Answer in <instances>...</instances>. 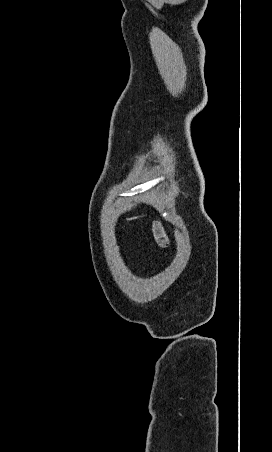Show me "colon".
<instances>
[{"mask_svg": "<svg viewBox=\"0 0 272 452\" xmlns=\"http://www.w3.org/2000/svg\"><path fill=\"white\" fill-rule=\"evenodd\" d=\"M152 230H153V237H154L156 244L160 248L166 249L169 245V239H168V236H167L161 222L154 221Z\"/></svg>", "mask_w": 272, "mask_h": 452, "instance_id": "1", "label": "colon"}]
</instances>
